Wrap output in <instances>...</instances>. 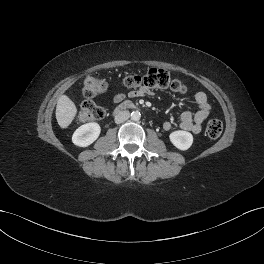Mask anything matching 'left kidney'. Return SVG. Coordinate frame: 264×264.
<instances>
[{"label":"left kidney","mask_w":264,"mask_h":264,"mask_svg":"<svg viewBox=\"0 0 264 264\" xmlns=\"http://www.w3.org/2000/svg\"><path fill=\"white\" fill-rule=\"evenodd\" d=\"M169 139L177 149L182 151L189 149L193 143L192 134L183 130L172 132L169 135Z\"/></svg>","instance_id":"obj_1"}]
</instances>
